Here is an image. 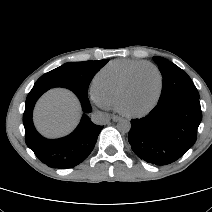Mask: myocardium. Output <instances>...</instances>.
Returning <instances> with one entry per match:
<instances>
[{"label": "myocardium", "instance_id": "f54148a6", "mask_svg": "<svg viewBox=\"0 0 212 212\" xmlns=\"http://www.w3.org/2000/svg\"><path fill=\"white\" fill-rule=\"evenodd\" d=\"M143 68H151L155 71V73L157 74L158 76V79H159V88H158V92H157V95H156V98L155 100L153 101V103L145 110L143 111H140V112H128L126 111L124 108H123V102H124V99L132 85V82L134 80V77L135 75ZM163 83H164V79H163V75L161 73V71L159 70V68L152 64V63H149V62H146V63H143L137 67H135L130 73L129 75L127 76L125 82L123 83L122 85V88L120 90V93L118 95V98H117V102H116V107L117 109L125 116L127 117H132V118H136V117H141L143 115H146L147 113H149L155 106L156 104L158 103L160 97H161V94H162V90H163Z\"/></svg>", "mask_w": 212, "mask_h": 212}]
</instances>
